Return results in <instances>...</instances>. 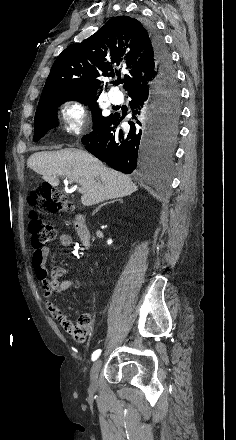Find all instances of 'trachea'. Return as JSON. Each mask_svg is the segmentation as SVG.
I'll return each instance as SVG.
<instances>
[{"label":"trachea","mask_w":236,"mask_h":440,"mask_svg":"<svg viewBox=\"0 0 236 440\" xmlns=\"http://www.w3.org/2000/svg\"><path fill=\"white\" fill-rule=\"evenodd\" d=\"M124 82V80L122 79H118V81L116 82V84H122Z\"/></svg>","instance_id":"1"}]
</instances>
